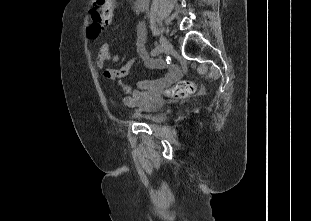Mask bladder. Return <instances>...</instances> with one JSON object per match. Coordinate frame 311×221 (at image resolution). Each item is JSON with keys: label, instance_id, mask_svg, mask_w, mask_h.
Returning a JSON list of instances; mask_svg holds the SVG:
<instances>
[{"label": "bladder", "instance_id": "31cf9c89", "mask_svg": "<svg viewBox=\"0 0 311 221\" xmlns=\"http://www.w3.org/2000/svg\"><path fill=\"white\" fill-rule=\"evenodd\" d=\"M161 107L162 103L158 102L153 104L150 108L136 111L133 116L143 118L146 124H162L165 118L159 115Z\"/></svg>", "mask_w": 311, "mask_h": 221}]
</instances>
